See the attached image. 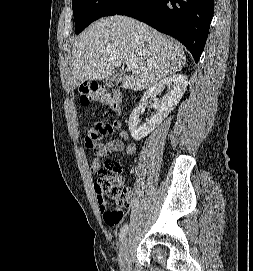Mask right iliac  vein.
<instances>
[{"mask_svg":"<svg viewBox=\"0 0 253 271\" xmlns=\"http://www.w3.org/2000/svg\"><path fill=\"white\" fill-rule=\"evenodd\" d=\"M119 264L122 271H130V243L127 238L123 240L120 247Z\"/></svg>","mask_w":253,"mask_h":271,"instance_id":"right-iliac-vein-1","label":"right iliac vein"}]
</instances>
